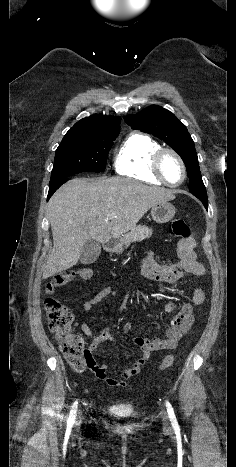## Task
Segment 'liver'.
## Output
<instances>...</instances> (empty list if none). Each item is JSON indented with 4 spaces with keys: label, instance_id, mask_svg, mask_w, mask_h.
I'll use <instances>...</instances> for the list:
<instances>
[{
    "label": "liver",
    "instance_id": "1",
    "mask_svg": "<svg viewBox=\"0 0 236 467\" xmlns=\"http://www.w3.org/2000/svg\"><path fill=\"white\" fill-rule=\"evenodd\" d=\"M174 199L172 190L124 178H76L67 182L48 203L53 248L42 278L76 265L89 239L103 243L119 238L154 205Z\"/></svg>",
    "mask_w": 236,
    "mask_h": 467
}]
</instances>
